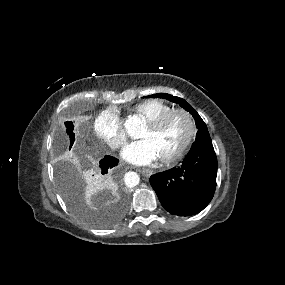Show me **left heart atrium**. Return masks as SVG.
I'll return each instance as SVG.
<instances>
[{"label":"left heart atrium","instance_id":"39dd6f15","mask_svg":"<svg viewBox=\"0 0 285 285\" xmlns=\"http://www.w3.org/2000/svg\"><path fill=\"white\" fill-rule=\"evenodd\" d=\"M121 155L127 162L136 165H148L159 158L158 151L150 139H141L128 144Z\"/></svg>","mask_w":285,"mask_h":285}]
</instances>
